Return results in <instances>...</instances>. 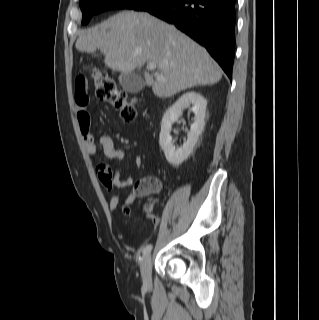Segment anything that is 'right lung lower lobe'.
<instances>
[{
  "label": "right lung lower lobe",
  "instance_id": "right-lung-lower-lobe-1",
  "mask_svg": "<svg viewBox=\"0 0 319 320\" xmlns=\"http://www.w3.org/2000/svg\"><path fill=\"white\" fill-rule=\"evenodd\" d=\"M236 0H152L136 10L147 11L203 45L232 78L235 55Z\"/></svg>",
  "mask_w": 319,
  "mask_h": 320
}]
</instances>
